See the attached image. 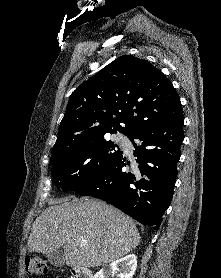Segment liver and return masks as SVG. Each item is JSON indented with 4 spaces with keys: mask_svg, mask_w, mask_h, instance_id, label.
<instances>
[{
    "mask_svg": "<svg viewBox=\"0 0 221 278\" xmlns=\"http://www.w3.org/2000/svg\"><path fill=\"white\" fill-rule=\"evenodd\" d=\"M50 204L32 225L31 253L48 254L63 246L67 266L90 268L120 259L140 242L133 221L103 201L63 199Z\"/></svg>",
    "mask_w": 221,
    "mask_h": 278,
    "instance_id": "1",
    "label": "liver"
}]
</instances>
